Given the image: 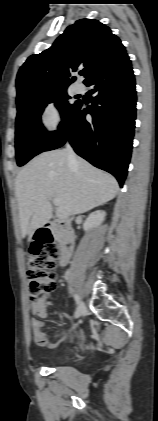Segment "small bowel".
I'll use <instances>...</instances> for the list:
<instances>
[{
  "instance_id": "small-bowel-1",
  "label": "small bowel",
  "mask_w": 158,
  "mask_h": 421,
  "mask_svg": "<svg viewBox=\"0 0 158 421\" xmlns=\"http://www.w3.org/2000/svg\"><path fill=\"white\" fill-rule=\"evenodd\" d=\"M31 313L40 318H46L48 315V303L46 301L33 302L31 304ZM31 326H32L34 341L39 346H50L49 337L43 331L44 322L39 319H32ZM71 340H72V337H69L65 340V342H69Z\"/></svg>"
}]
</instances>
